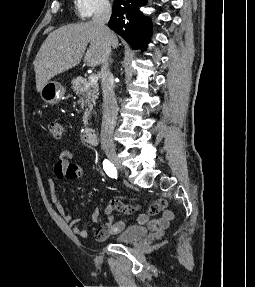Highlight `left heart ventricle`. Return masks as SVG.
<instances>
[{"label": "left heart ventricle", "instance_id": "obj_1", "mask_svg": "<svg viewBox=\"0 0 255 287\" xmlns=\"http://www.w3.org/2000/svg\"><path fill=\"white\" fill-rule=\"evenodd\" d=\"M93 33H97V32H93ZM90 39H98V38H90ZM88 48H98V47H88Z\"/></svg>", "mask_w": 255, "mask_h": 287}]
</instances>
